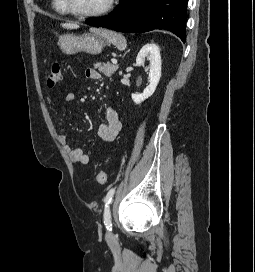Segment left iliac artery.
I'll return each mask as SVG.
<instances>
[{"mask_svg": "<svg viewBox=\"0 0 255 272\" xmlns=\"http://www.w3.org/2000/svg\"><path fill=\"white\" fill-rule=\"evenodd\" d=\"M115 193V188H112L108 191L107 195L104 198V224L108 230H112V223H111V212H110V204L112 201V198Z\"/></svg>", "mask_w": 255, "mask_h": 272, "instance_id": "obj_1", "label": "left iliac artery"}]
</instances>
